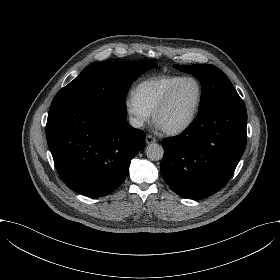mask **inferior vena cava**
I'll return each instance as SVG.
<instances>
[{
	"label": "inferior vena cava",
	"instance_id": "inferior-vena-cava-1",
	"mask_svg": "<svg viewBox=\"0 0 280 280\" xmlns=\"http://www.w3.org/2000/svg\"><path fill=\"white\" fill-rule=\"evenodd\" d=\"M144 121L138 117H129V124L134 128H141L143 126Z\"/></svg>",
	"mask_w": 280,
	"mask_h": 280
}]
</instances>
